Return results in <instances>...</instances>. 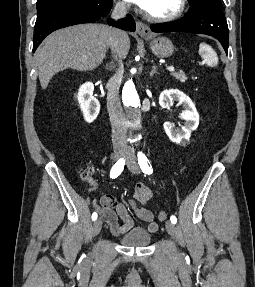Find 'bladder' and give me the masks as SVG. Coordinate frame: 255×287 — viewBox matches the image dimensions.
I'll list each match as a JSON object with an SVG mask.
<instances>
[{
	"label": "bladder",
	"mask_w": 255,
	"mask_h": 287,
	"mask_svg": "<svg viewBox=\"0 0 255 287\" xmlns=\"http://www.w3.org/2000/svg\"><path fill=\"white\" fill-rule=\"evenodd\" d=\"M152 235L143 227H134L119 237V242L128 247H142L151 242Z\"/></svg>",
	"instance_id": "1"
}]
</instances>
